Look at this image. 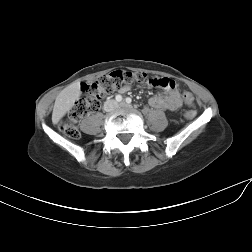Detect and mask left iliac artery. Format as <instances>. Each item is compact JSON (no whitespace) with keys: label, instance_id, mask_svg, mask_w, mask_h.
Instances as JSON below:
<instances>
[{"label":"left iliac artery","instance_id":"44dca946","mask_svg":"<svg viewBox=\"0 0 252 252\" xmlns=\"http://www.w3.org/2000/svg\"><path fill=\"white\" fill-rule=\"evenodd\" d=\"M125 101H126V103H127V104H130V103H131V101H132V99H131V98H129V97H127V98L125 99Z\"/></svg>","mask_w":252,"mask_h":252}]
</instances>
